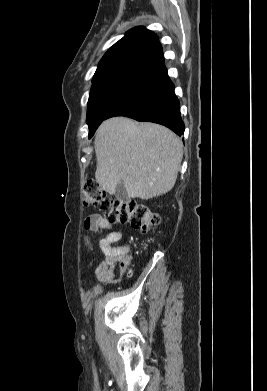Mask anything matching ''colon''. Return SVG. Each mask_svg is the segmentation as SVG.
<instances>
[{
    "label": "colon",
    "instance_id": "obj_1",
    "mask_svg": "<svg viewBox=\"0 0 267 391\" xmlns=\"http://www.w3.org/2000/svg\"><path fill=\"white\" fill-rule=\"evenodd\" d=\"M82 201L85 207L102 211L110 223L129 224L141 232H149L159 223L158 215L146 204L134 200L122 201L108 198L106 192L94 180L85 183ZM129 263V257L123 260L126 268Z\"/></svg>",
    "mask_w": 267,
    "mask_h": 391
}]
</instances>
